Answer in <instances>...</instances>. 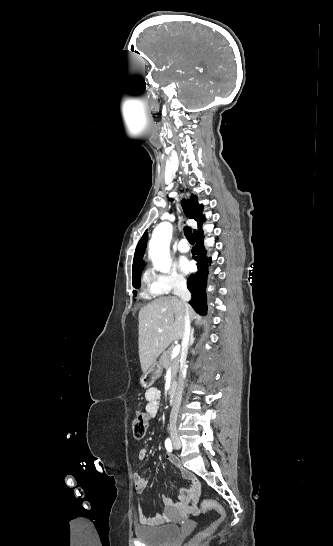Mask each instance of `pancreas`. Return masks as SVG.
<instances>
[{"mask_svg": "<svg viewBox=\"0 0 333 546\" xmlns=\"http://www.w3.org/2000/svg\"><path fill=\"white\" fill-rule=\"evenodd\" d=\"M173 348L170 347L168 350L164 351L159 359V362L164 369H171V378L172 381L176 380L177 373L179 371V363H180V357L177 356L176 358L172 359Z\"/></svg>", "mask_w": 333, "mask_h": 546, "instance_id": "pancreas-1", "label": "pancreas"}]
</instances>
